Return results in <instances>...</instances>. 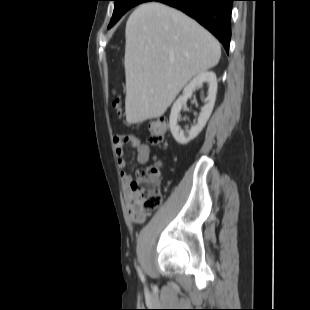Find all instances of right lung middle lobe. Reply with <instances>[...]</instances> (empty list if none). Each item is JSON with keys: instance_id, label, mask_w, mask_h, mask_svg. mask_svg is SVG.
I'll return each instance as SVG.
<instances>
[{"instance_id": "1", "label": "right lung middle lobe", "mask_w": 310, "mask_h": 310, "mask_svg": "<svg viewBox=\"0 0 310 310\" xmlns=\"http://www.w3.org/2000/svg\"><path fill=\"white\" fill-rule=\"evenodd\" d=\"M115 8L108 28L112 27L129 9L149 0H114Z\"/></svg>"}]
</instances>
